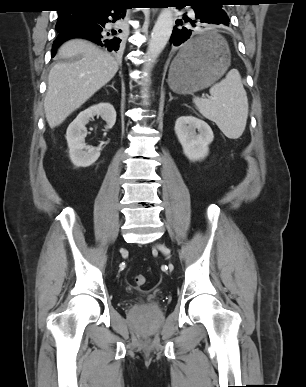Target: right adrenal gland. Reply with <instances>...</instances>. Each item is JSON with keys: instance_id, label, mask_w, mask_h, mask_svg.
<instances>
[{"instance_id": "1", "label": "right adrenal gland", "mask_w": 306, "mask_h": 387, "mask_svg": "<svg viewBox=\"0 0 306 387\" xmlns=\"http://www.w3.org/2000/svg\"><path fill=\"white\" fill-rule=\"evenodd\" d=\"M110 87H112V88L116 91V89H115V87H114V82H112V84L110 85Z\"/></svg>"}]
</instances>
